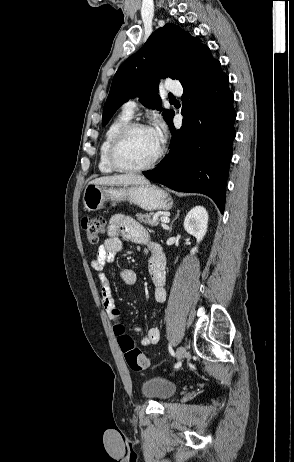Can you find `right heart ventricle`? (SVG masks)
Returning a JSON list of instances; mask_svg holds the SVG:
<instances>
[{"label":"right heart ventricle","instance_id":"e07e8e85","mask_svg":"<svg viewBox=\"0 0 294 462\" xmlns=\"http://www.w3.org/2000/svg\"><path fill=\"white\" fill-rule=\"evenodd\" d=\"M132 118V114L126 112L125 110H122L109 124L107 127L103 140L100 144L99 147V152H98V168L101 173L103 174H112L116 172L115 169H113L108 161H107V150L108 146L114 137V135L127 123L130 122Z\"/></svg>","mask_w":294,"mask_h":462}]
</instances>
